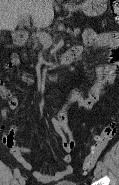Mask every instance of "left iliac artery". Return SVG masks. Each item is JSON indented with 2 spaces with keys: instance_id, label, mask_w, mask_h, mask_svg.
Listing matches in <instances>:
<instances>
[{
  "instance_id": "obj_1",
  "label": "left iliac artery",
  "mask_w": 119,
  "mask_h": 185,
  "mask_svg": "<svg viewBox=\"0 0 119 185\" xmlns=\"http://www.w3.org/2000/svg\"><path fill=\"white\" fill-rule=\"evenodd\" d=\"M97 166L100 168H103V162L102 161H98Z\"/></svg>"
}]
</instances>
